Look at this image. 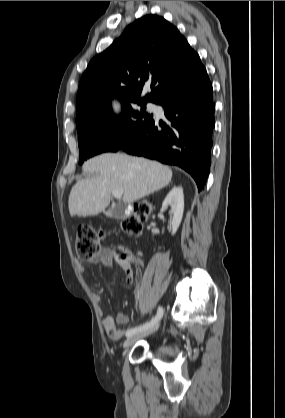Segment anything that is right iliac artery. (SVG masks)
<instances>
[{
	"label": "right iliac artery",
	"instance_id": "82829eb1",
	"mask_svg": "<svg viewBox=\"0 0 285 418\" xmlns=\"http://www.w3.org/2000/svg\"><path fill=\"white\" fill-rule=\"evenodd\" d=\"M162 316H163V309H162V307H158L157 314L151 321H149V322H147V323H145L141 326L133 327V328L128 329L127 332H126V336L128 337V336H130L132 334H135L137 332H142V331L148 330L149 328L154 326L162 318Z\"/></svg>",
	"mask_w": 285,
	"mask_h": 418
}]
</instances>
